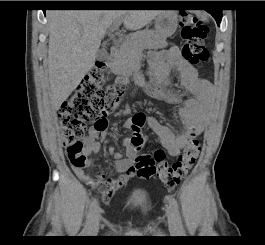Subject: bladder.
Instances as JSON below:
<instances>
[{
	"label": "bladder",
	"mask_w": 265,
	"mask_h": 245,
	"mask_svg": "<svg viewBox=\"0 0 265 245\" xmlns=\"http://www.w3.org/2000/svg\"><path fill=\"white\" fill-rule=\"evenodd\" d=\"M150 200L147 191L144 188H136L127 199L125 207L129 209H144L149 207Z\"/></svg>",
	"instance_id": "31cf9c89"
}]
</instances>
